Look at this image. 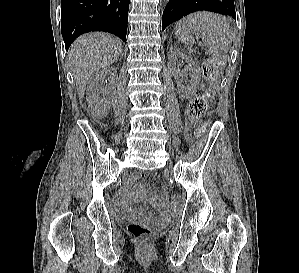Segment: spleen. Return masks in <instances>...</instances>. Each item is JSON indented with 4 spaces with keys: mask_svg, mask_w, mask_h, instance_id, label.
Returning <instances> with one entry per match:
<instances>
[{
    "mask_svg": "<svg viewBox=\"0 0 299 273\" xmlns=\"http://www.w3.org/2000/svg\"><path fill=\"white\" fill-rule=\"evenodd\" d=\"M192 33H200L206 54L219 56L226 54L232 44L233 31L226 17L210 12H197L178 21L176 36L186 44H192Z\"/></svg>",
    "mask_w": 299,
    "mask_h": 273,
    "instance_id": "1",
    "label": "spleen"
}]
</instances>
